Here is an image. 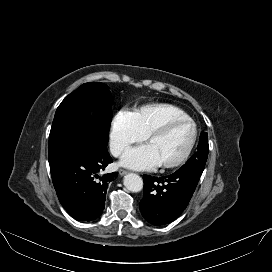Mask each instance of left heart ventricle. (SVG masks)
Instances as JSON below:
<instances>
[{
  "label": "left heart ventricle",
  "mask_w": 272,
  "mask_h": 272,
  "mask_svg": "<svg viewBox=\"0 0 272 272\" xmlns=\"http://www.w3.org/2000/svg\"><path fill=\"white\" fill-rule=\"evenodd\" d=\"M193 135L189 124H179L167 133L154 137L147 143L155 152L159 163H171L179 159L187 150Z\"/></svg>",
  "instance_id": "1"
}]
</instances>
